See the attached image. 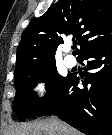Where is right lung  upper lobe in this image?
I'll use <instances>...</instances> for the list:
<instances>
[{
	"instance_id": "1",
	"label": "right lung upper lobe",
	"mask_w": 112,
	"mask_h": 135,
	"mask_svg": "<svg viewBox=\"0 0 112 135\" xmlns=\"http://www.w3.org/2000/svg\"><path fill=\"white\" fill-rule=\"evenodd\" d=\"M73 35L79 55L112 42L111 0H58L22 33L14 76L39 71L55 62L63 38Z\"/></svg>"
}]
</instances>
